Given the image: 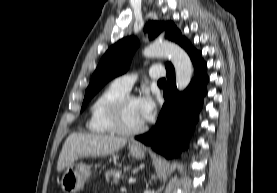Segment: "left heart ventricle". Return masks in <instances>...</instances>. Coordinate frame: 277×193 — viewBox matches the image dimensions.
<instances>
[{
  "mask_svg": "<svg viewBox=\"0 0 277 193\" xmlns=\"http://www.w3.org/2000/svg\"><path fill=\"white\" fill-rule=\"evenodd\" d=\"M122 118L123 124L128 128H134L144 123L138 113L135 99H129L124 104Z\"/></svg>",
  "mask_w": 277,
  "mask_h": 193,
  "instance_id": "b2bd125f",
  "label": "left heart ventricle"
}]
</instances>
